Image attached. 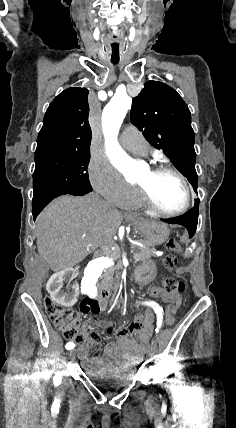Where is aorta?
I'll use <instances>...</instances> for the list:
<instances>
[{
  "mask_svg": "<svg viewBox=\"0 0 236 428\" xmlns=\"http://www.w3.org/2000/svg\"><path fill=\"white\" fill-rule=\"evenodd\" d=\"M132 99L127 94H117L105 106L102 113V129L105 138V148L110 160L119 166L127 178L136 177L131 158L126 154L117 141L119 129L131 108ZM111 265V260L100 257L91 260L84 270L82 287L87 294L97 293V282L102 272Z\"/></svg>",
  "mask_w": 236,
  "mask_h": 428,
  "instance_id": "1",
  "label": "aorta"
}]
</instances>
